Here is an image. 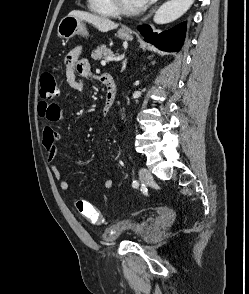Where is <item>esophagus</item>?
<instances>
[{
  "label": "esophagus",
  "instance_id": "34e87169",
  "mask_svg": "<svg viewBox=\"0 0 249 294\" xmlns=\"http://www.w3.org/2000/svg\"><path fill=\"white\" fill-rule=\"evenodd\" d=\"M155 9H156V7H154V8H152L151 10H150V12L144 17V18H142L141 19V21H140V23H143V22H145L152 14H153V12L155 11ZM124 31H130L129 29H127V28H124L123 29Z\"/></svg>",
  "mask_w": 249,
  "mask_h": 294
}]
</instances>
